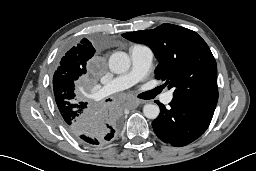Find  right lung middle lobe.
Wrapping results in <instances>:
<instances>
[{"label": "right lung middle lobe", "instance_id": "1", "mask_svg": "<svg viewBox=\"0 0 256 171\" xmlns=\"http://www.w3.org/2000/svg\"><path fill=\"white\" fill-rule=\"evenodd\" d=\"M65 56L62 57L53 76L55 100L65 98L76 104L87 105L90 102L87 101L86 90L81 84V76L85 74V71L77 66L72 59Z\"/></svg>", "mask_w": 256, "mask_h": 171}]
</instances>
